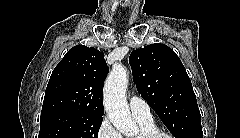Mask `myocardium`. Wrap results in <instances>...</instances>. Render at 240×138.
Returning a JSON list of instances; mask_svg holds the SVG:
<instances>
[{"mask_svg":"<svg viewBox=\"0 0 240 138\" xmlns=\"http://www.w3.org/2000/svg\"><path fill=\"white\" fill-rule=\"evenodd\" d=\"M137 138H168V136L164 131L156 127L140 131Z\"/></svg>","mask_w":240,"mask_h":138,"instance_id":"obj_1","label":"myocardium"}]
</instances>
